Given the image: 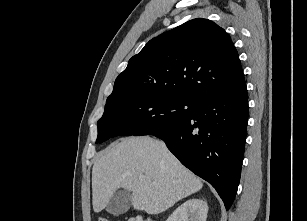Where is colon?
<instances>
[{
  "label": "colon",
  "instance_id": "1",
  "mask_svg": "<svg viewBox=\"0 0 307 221\" xmlns=\"http://www.w3.org/2000/svg\"><path fill=\"white\" fill-rule=\"evenodd\" d=\"M97 221H109V220L105 217H99ZM128 221H152V220L148 218L147 219L143 218L141 216H135V217L128 219Z\"/></svg>",
  "mask_w": 307,
  "mask_h": 221
}]
</instances>
